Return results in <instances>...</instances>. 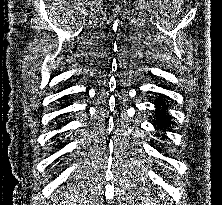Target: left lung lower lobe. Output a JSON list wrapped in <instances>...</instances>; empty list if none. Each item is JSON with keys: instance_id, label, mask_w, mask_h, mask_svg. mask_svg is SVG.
I'll list each match as a JSON object with an SVG mask.
<instances>
[{"instance_id": "1", "label": "left lung lower lobe", "mask_w": 222, "mask_h": 205, "mask_svg": "<svg viewBox=\"0 0 222 205\" xmlns=\"http://www.w3.org/2000/svg\"><path fill=\"white\" fill-rule=\"evenodd\" d=\"M160 95V94H159ZM157 111H155V118L153 125L160 130H167L168 124V114L166 109L168 105L165 102V96L160 95L159 98L154 102Z\"/></svg>"}]
</instances>
